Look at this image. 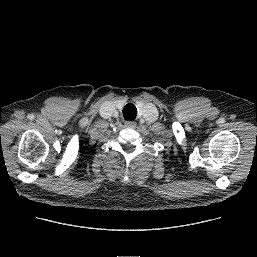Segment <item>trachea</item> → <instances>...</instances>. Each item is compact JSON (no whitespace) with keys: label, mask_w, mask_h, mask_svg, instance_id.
Wrapping results in <instances>:
<instances>
[{"label":"trachea","mask_w":257,"mask_h":257,"mask_svg":"<svg viewBox=\"0 0 257 257\" xmlns=\"http://www.w3.org/2000/svg\"><path fill=\"white\" fill-rule=\"evenodd\" d=\"M136 115H137V109L133 104L129 103L124 107L123 116L126 120L132 121L136 118Z\"/></svg>","instance_id":"trachea-1"}]
</instances>
